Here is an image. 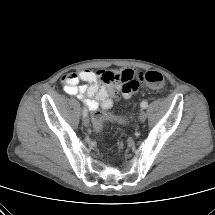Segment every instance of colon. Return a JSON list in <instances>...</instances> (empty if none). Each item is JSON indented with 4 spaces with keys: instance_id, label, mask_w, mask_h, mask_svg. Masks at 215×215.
I'll return each instance as SVG.
<instances>
[{
    "instance_id": "colon-1",
    "label": "colon",
    "mask_w": 215,
    "mask_h": 215,
    "mask_svg": "<svg viewBox=\"0 0 215 215\" xmlns=\"http://www.w3.org/2000/svg\"><path fill=\"white\" fill-rule=\"evenodd\" d=\"M139 80H144L149 86L153 88H159L164 84V77L158 71H148L144 75L139 76ZM138 84V81H137ZM111 116L105 112L97 110L93 112L92 115V123L93 127L96 131H100L102 129L103 122L107 119H110ZM120 122H126V119H121Z\"/></svg>"
}]
</instances>
